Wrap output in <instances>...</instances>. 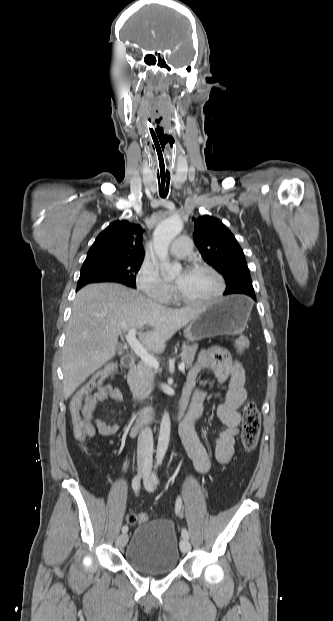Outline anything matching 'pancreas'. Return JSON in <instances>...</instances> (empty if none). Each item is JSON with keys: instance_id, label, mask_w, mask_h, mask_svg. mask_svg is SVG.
I'll list each match as a JSON object with an SVG mask.
<instances>
[{"instance_id": "1", "label": "pancreas", "mask_w": 333, "mask_h": 621, "mask_svg": "<svg viewBox=\"0 0 333 621\" xmlns=\"http://www.w3.org/2000/svg\"><path fill=\"white\" fill-rule=\"evenodd\" d=\"M197 348V345L184 344L182 346V353L180 354L181 360L186 363L188 367H191L193 364ZM157 372V369L147 365L143 361L129 372V386L135 400H143L150 395L153 390L154 376Z\"/></svg>"}]
</instances>
